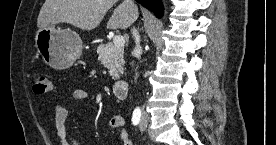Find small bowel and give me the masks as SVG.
Masks as SVG:
<instances>
[{"instance_id": "c3829d8e", "label": "small bowel", "mask_w": 276, "mask_h": 145, "mask_svg": "<svg viewBox=\"0 0 276 145\" xmlns=\"http://www.w3.org/2000/svg\"><path fill=\"white\" fill-rule=\"evenodd\" d=\"M73 98L78 102H85L89 99V93L82 89L73 92ZM55 129L59 145H82L80 140L71 135L67 127L68 111L65 105L59 103L55 106ZM110 126L116 131L122 145H132L125 130L123 117L116 115L110 119Z\"/></svg>"}]
</instances>
